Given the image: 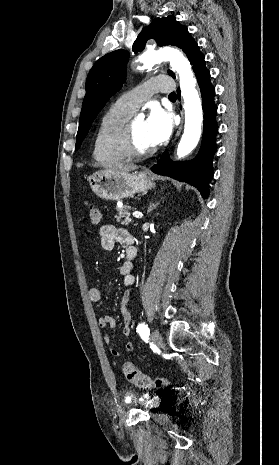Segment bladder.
Returning a JSON list of instances; mask_svg holds the SVG:
<instances>
[{
    "instance_id": "31cf9c89",
    "label": "bladder",
    "mask_w": 279,
    "mask_h": 465,
    "mask_svg": "<svg viewBox=\"0 0 279 465\" xmlns=\"http://www.w3.org/2000/svg\"><path fill=\"white\" fill-rule=\"evenodd\" d=\"M160 399L157 396H151L142 400V405L147 409H154L160 405Z\"/></svg>"
}]
</instances>
